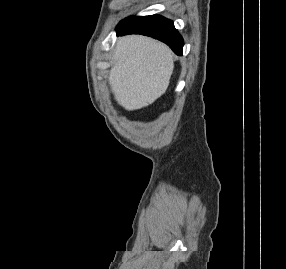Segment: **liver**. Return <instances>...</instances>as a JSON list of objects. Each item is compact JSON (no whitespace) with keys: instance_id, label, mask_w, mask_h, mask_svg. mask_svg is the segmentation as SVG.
I'll use <instances>...</instances> for the list:
<instances>
[{"instance_id":"obj_1","label":"liver","mask_w":286,"mask_h":269,"mask_svg":"<svg viewBox=\"0 0 286 269\" xmlns=\"http://www.w3.org/2000/svg\"><path fill=\"white\" fill-rule=\"evenodd\" d=\"M113 61L109 84L118 104L129 111L146 107L162 96L174 68L171 50L141 35L120 38Z\"/></svg>"}]
</instances>
